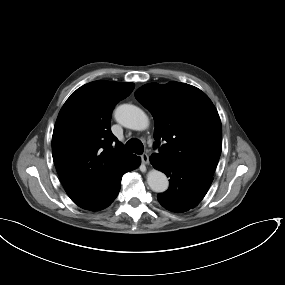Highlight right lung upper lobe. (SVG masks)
I'll return each instance as SVG.
<instances>
[{
	"label": "right lung upper lobe",
	"instance_id": "right-lung-upper-lobe-1",
	"mask_svg": "<svg viewBox=\"0 0 285 285\" xmlns=\"http://www.w3.org/2000/svg\"><path fill=\"white\" fill-rule=\"evenodd\" d=\"M134 87L133 83L90 82L60 110L52 156L66 193L80 207L98 198L135 157L121 151L122 143L110 129L115 105Z\"/></svg>",
	"mask_w": 285,
	"mask_h": 285
}]
</instances>
